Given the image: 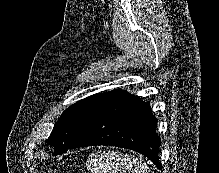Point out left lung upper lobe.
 <instances>
[{
    "label": "left lung upper lobe",
    "instance_id": "left-lung-upper-lobe-1",
    "mask_svg": "<svg viewBox=\"0 0 219 173\" xmlns=\"http://www.w3.org/2000/svg\"><path fill=\"white\" fill-rule=\"evenodd\" d=\"M121 90H112L87 97L67 108L55 124L46 142L54 146L55 154L64 153L82 133L93 116Z\"/></svg>",
    "mask_w": 219,
    "mask_h": 173
}]
</instances>
